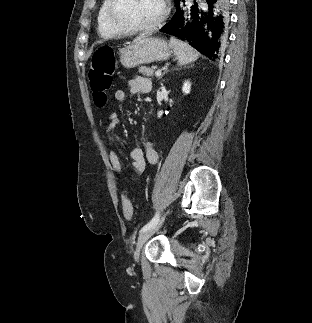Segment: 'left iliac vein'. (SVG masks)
I'll list each match as a JSON object with an SVG mask.
<instances>
[{
    "instance_id": "4c4485c4",
    "label": "left iliac vein",
    "mask_w": 312,
    "mask_h": 323,
    "mask_svg": "<svg viewBox=\"0 0 312 323\" xmlns=\"http://www.w3.org/2000/svg\"><path fill=\"white\" fill-rule=\"evenodd\" d=\"M165 216H163L160 220V222L158 224H156L155 226L149 228L148 230L143 231L139 237H138V241L136 244V249L134 252V258L135 260L139 259V252L142 248V246L144 245V243L161 227L163 221H164Z\"/></svg>"
}]
</instances>
